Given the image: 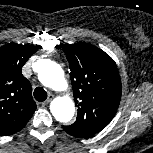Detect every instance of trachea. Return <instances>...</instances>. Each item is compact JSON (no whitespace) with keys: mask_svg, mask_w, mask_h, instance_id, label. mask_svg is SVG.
Instances as JSON below:
<instances>
[{"mask_svg":"<svg viewBox=\"0 0 153 153\" xmlns=\"http://www.w3.org/2000/svg\"><path fill=\"white\" fill-rule=\"evenodd\" d=\"M34 98L39 102H43L47 98V92L42 87H37L34 90Z\"/></svg>","mask_w":153,"mask_h":153,"instance_id":"obj_1","label":"trachea"}]
</instances>
